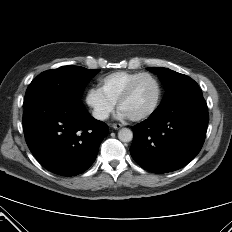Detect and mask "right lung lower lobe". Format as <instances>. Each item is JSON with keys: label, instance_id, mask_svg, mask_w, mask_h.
Returning <instances> with one entry per match:
<instances>
[{"label": "right lung lower lobe", "instance_id": "98d812e1", "mask_svg": "<svg viewBox=\"0 0 232 232\" xmlns=\"http://www.w3.org/2000/svg\"><path fill=\"white\" fill-rule=\"evenodd\" d=\"M24 109L26 143L43 167L74 176L92 165L109 128L94 119L81 100L43 98Z\"/></svg>", "mask_w": 232, "mask_h": 232}]
</instances>
